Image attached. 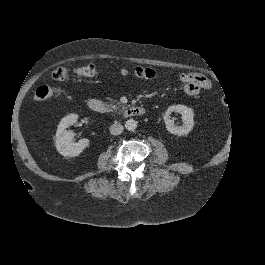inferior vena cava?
Returning <instances> with one entry per match:
<instances>
[{"mask_svg": "<svg viewBox=\"0 0 265 265\" xmlns=\"http://www.w3.org/2000/svg\"><path fill=\"white\" fill-rule=\"evenodd\" d=\"M123 126L120 123H114L113 125H111L110 127V133L113 135H119L123 132Z\"/></svg>", "mask_w": 265, "mask_h": 265, "instance_id": "1", "label": "inferior vena cava"}]
</instances>
